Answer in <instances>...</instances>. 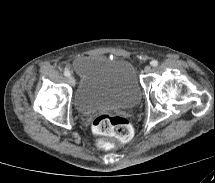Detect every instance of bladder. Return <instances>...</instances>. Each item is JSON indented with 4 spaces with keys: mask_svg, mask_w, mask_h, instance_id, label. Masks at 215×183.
Wrapping results in <instances>:
<instances>
[{
    "mask_svg": "<svg viewBox=\"0 0 215 183\" xmlns=\"http://www.w3.org/2000/svg\"><path fill=\"white\" fill-rule=\"evenodd\" d=\"M79 76L74 105L83 114L103 109L132 108L141 97L134 66L127 60L85 55L73 62Z\"/></svg>",
    "mask_w": 215,
    "mask_h": 183,
    "instance_id": "obj_1",
    "label": "bladder"
}]
</instances>
